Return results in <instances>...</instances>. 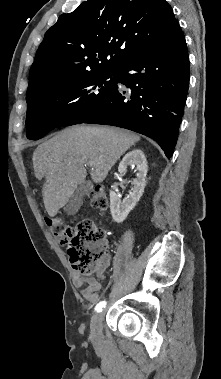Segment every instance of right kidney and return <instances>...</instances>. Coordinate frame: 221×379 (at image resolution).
<instances>
[{"label": "right kidney", "instance_id": "obj_1", "mask_svg": "<svg viewBox=\"0 0 221 379\" xmlns=\"http://www.w3.org/2000/svg\"><path fill=\"white\" fill-rule=\"evenodd\" d=\"M128 166H136V178L133 180V188L129 195L122 201L115 191H110V211L112 218L117 223H122L140 200L146 185L147 162L142 150L134 149L128 152L118 166V172L125 174Z\"/></svg>", "mask_w": 221, "mask_h": 379}]
</instances>
